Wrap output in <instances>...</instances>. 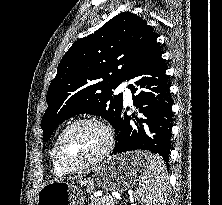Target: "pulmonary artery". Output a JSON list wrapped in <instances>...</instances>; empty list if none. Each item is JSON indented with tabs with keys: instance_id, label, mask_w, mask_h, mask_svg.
I'll return each mask as SVG.
<instances>
[{
	"instance_id": "e3ab8cb5",
	"label": "pulmonary artery",
	"mask_w": 222,
	"mask_h": 205,
	"mask_svg": "<svg viewBox=\"0 0 222 205\" xmlns=\"http://www.w3.org/2000/svg\"><path fill=\"white\" fill-rule=\"evenodd\" d=\"M120 90L124 91L125 100L130 103L131 102V92H130V90L126 89L124 86H122L120 88Z\"/></svg>"
}]
</instances>
